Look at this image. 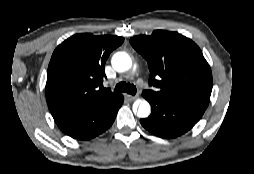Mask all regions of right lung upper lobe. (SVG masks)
I'll list each match as a JSON object with an SVG mask.
<instances>
[{"mask_svg": "<svg viewBox=\"0 0 254 174\" xmlns=\"http://www.w3.org/2000/svg\"><path fill=\"white\" fill-rule=\"evenodd\" d=\"M124 41L118 36L74 35L62 42L51 57L46 98L53 117L84 101L119 97L102 85L109 54Z\"/></svg>", "mask_w": 254, "mask_h": 174, "instance_id": "cb5924a9", "label": "right lung upper lobe"}]
</instances>
